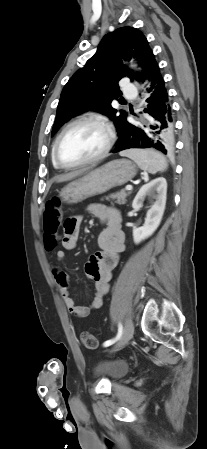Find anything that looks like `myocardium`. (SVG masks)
I'll list each match as a JSON object with an SVG mask.
<instances>
[{"label":"myocardium","instance_id":"myocardium-1","mask_svg":"<svg viewBox=\"0 0 207 449\" xmlns=\"http://www.w3.org/2000/svg\"><path fill=\"white\" fill-rule=\"evenodd\" d=\"M80 124H89V125H94V126L101 128L106 134V144H105L104 148L102 149V151L98 155H96L88 160L80 161L77 163H66L59 156L60 142L68 130H70L72 127H74L76 125H80ZM114 141H115V133H114L112 127L105 120L100 119V118H88V117L79 118V119H76V120L70 122L69 124H67L62 129V131L58 134V136L54 142V145H53V157H54V160L57 163V165L63 169H75V168L91 165V164H94V163L104 159L109 154V152L112 149V146L114 144Z\"/></svg>","mask_w":207,"mask_h":449}]
</instances>
